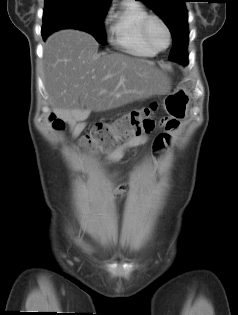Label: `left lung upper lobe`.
Wrapping results in <instances>:
<instances>
[{
  "instance_id": "left-lung-upper-lobe-1",
  "label": "left lung upper lobe",
  "mask_w": 238,
  "mask_h": 315,
  "mask_svg": "<svg viewBox=\"0 0 238 315\" xmlns=\"http://www.w3.org/2000/svg\"><path fill=\"white\" fill-rule=\"evenodd\" d=\"M146 3L161 17L170 29L172 35L183 34L188 38L187 10L185 0H135ZM171 60H175L171 56ZM176 61V60H175Z\"/></svg>"
}]
</instances>
